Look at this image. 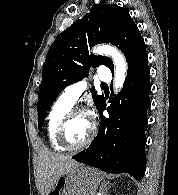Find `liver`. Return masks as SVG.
Instances as JSON below:
<instances>
[{"mask_svg": "<svg viewBox=\"0 0 178 195\" xmlns=\"http://www.w3.org/2000/svg\"><path fill=\"white\" fill-rule=\"evenodd\" d=\"M81 164L69 156L43 149L39 155V182L42 195H48L56 186L60 176Z\"/></svg>", "mask_w": 178, "mask_h": 195, "instance_id": "liver-1", "label": "liver"}]
</instances>
